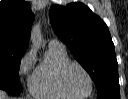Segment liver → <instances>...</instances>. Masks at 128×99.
<instances>
[{"label": "liver", "instance_id": "liver-1", "mask_svg": "<svg viewBox=\"0 0 128 99\" xmlns=\"http://www.w3.org/2000/svg\"><path fill=\"white\" fill-rule=\"evenodd\" d=\"M0 99H9L6 93L2 90H0Z\"/></svg>", "mask_w": 128, "mask_h": 99}]
</instances>
